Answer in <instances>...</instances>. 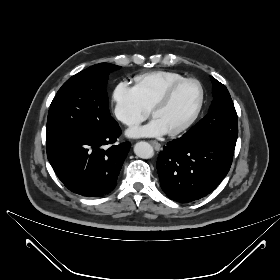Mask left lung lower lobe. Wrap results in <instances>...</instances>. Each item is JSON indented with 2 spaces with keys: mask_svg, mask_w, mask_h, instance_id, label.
Segmentation results:
<instances>
[{
  "mask_svg": "<svg viewBox=\"0 0 280 280\" xmlns=\"http://www.w3.org/2000/svg\"><path fill=\"white\" fill-rule=\"evenodd\" d=\"M234 149L205 137L183 136L168 142L157 159L162 190L181 203L206 196L229 172Z\"/></svg>",
  "mask_w": 280,
  "mask_h": 280,
  "instance_id": "left-lung-lower-lobe-1",
  "label": "left lung lower lobe"
}]
</instances>
